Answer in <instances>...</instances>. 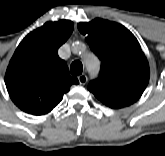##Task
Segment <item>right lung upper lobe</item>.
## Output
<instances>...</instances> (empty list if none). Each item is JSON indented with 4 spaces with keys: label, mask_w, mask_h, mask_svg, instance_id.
<instances>
[{
    "label": "right lung upper lobe",
    "mask_w": 165,
    "mask_h": 156,
    "mask_svg": "<svg viewBox=\"0 0 165 156\" xmlns=\"http://www.w3.org/2000/svg\"><path fill=\"white\" fill-rule=\"evenodd\" d=\"M73 22H47L30 32L17 47L6 71L5 84L12 101L32 115L50 112L62 100L72 84L67 64L58 56V48L66 42Z\"/></svg>",
    "instance_id": "1"
}]
</instances>
